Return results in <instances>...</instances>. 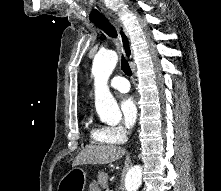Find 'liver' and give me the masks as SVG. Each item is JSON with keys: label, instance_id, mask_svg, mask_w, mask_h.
I'll list each match as a JSON object with an SVG mask.
<instances>
[{"label": "liver", "instance_id": "liver-1", "mask_svg": "<svg viewBox=\"0 0 221 191\" xmlns=\"http://www.w3.org/2000/svg\"><path fill=\"white\" fill-rule=\"evenodd\" d=\"M126 150L114 145L89 146L75 158L73 166L83 164H108L122 158Z\"/></svg>", "mask_w": 221, "mask_h": 191}]
</instances>
